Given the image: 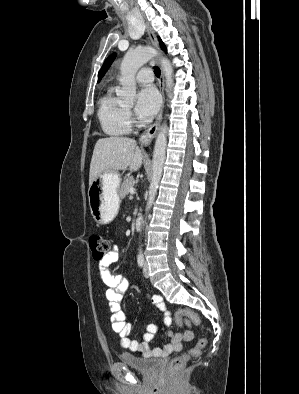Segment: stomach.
<instances>
[{"mask_svg": "<svg viewBox=\"0 0 299 394\" xmlns=\"http://www.w3.org/2000/svg\"><path fill=\"white\" fill-rule=\"evenodd\" d=\"M120 182L119 173L106 172L90 184L88 189L89 206L97 224H108L116 217L120 206Z\"/></svg>", "mask_w": 299, "mask_h": 394, "instance_id": "0dacf381", "label": "stomach"}]
</instances>
